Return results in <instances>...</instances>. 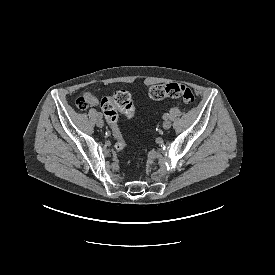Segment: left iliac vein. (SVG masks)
I'll return each instance as SVG.
<instances>
[{
  "mask_svg": "<svg viewBox=\"0 0 275 275\" xmlns=\"http://www.w3.org/2000/svg\"><path fill=\"white\" fill-rule=\"evenodd\" d=\"M172 123L169 120H165L163 122V128L164 129H169L171 127Z\"/></svg>",
  "mask_w": 275,
  "mask_h": 275,
  "instance_id": "1",
  "label": "left iliac vein"
}]
</instances>
